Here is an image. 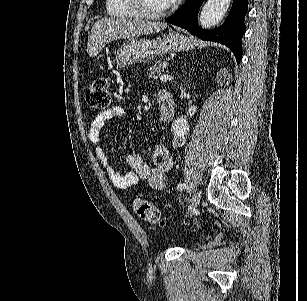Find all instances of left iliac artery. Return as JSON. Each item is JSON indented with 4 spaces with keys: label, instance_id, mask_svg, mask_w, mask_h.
Returning a JSON list of instances; mask_svg holds the SVG:
<instances>
[{
    "label": "left iliac artery",
    "instance_id": "44dca946",
    "mask_svg": "<svg viewBox=\"0 0 307 301\" xmlns=\"http://www.w3.org/2000/svg\"><path fill=\"white\" fill-rule=\"evenodd\" d=\"M186 188V184L185 183H179L177 186V190L182 191L183 189Z\"/></svg>",
    "mask_w": 307,
    "mask_h": 301
}]
</instances>
